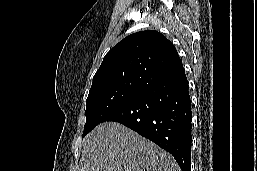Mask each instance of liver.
<instances>
[{
	"label": "liver",
	"instance_id": "obj_1",
	"mask_svg": "<svg viewBox=\"0 0 257 171\" xmlns=\"http://www.w3.org/2000/svg\"><path fill=\"white\" fill-rule=\"evenodd\" d=\"M78 171H181L152 141L117 122H104L84 139Z\"/></svg>",
	"mask_w": 257,
	"mask_h": 171
}]
</instances>
